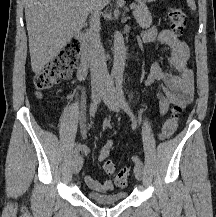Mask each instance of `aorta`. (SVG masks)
Masks as SVG:
<instances>
[{
	"label": "aorta",
	"mask_w": 216,
	"mask_h": 217,
	"mask_svg": "<svg viewBox=\"0 0 216 217\" xmlns=\"http://www.w3.org/2000/svg\"><path fill=\"white\" fill-rule=\"evenodd\" d=\"M114 61L111 74L115 77H122L126 62V48L124 38L121 32L116 31L114 34Z\"/></svg>",
	"instance_id": "aorta-1"
}]
</instances>
